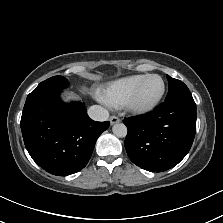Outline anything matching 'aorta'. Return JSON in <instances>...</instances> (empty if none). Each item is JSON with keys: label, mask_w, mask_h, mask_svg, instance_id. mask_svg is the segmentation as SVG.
I'll use <instances>...</instances> for the list:
<instances>
[{"label": "aorta", "mask_w": 223, "mask_h": 223, "mask_svg": "<svg viewBox=\"0 0 223 223\" xmlns=\"http://www.w3.org/2000/svg\"><path fill=\"white\" fill-rule=\"evenodd\" d=\"M112 131L117 137H125L127 135V127L123 123L113 125Z\"/></svg>", "instance_id": "762f6f07"}]
</instances>
